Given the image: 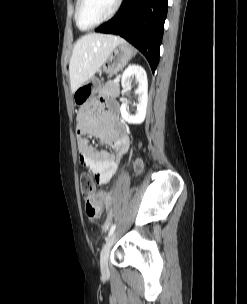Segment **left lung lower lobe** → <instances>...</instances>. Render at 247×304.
I'll use <instances>...</instances> for the list:
<instances>
[{"label": "left lung lower lobe", "mask_w": 247, "mask_h": 304, "mask_svg": "<svg viewBox=\"0 0 247 304\" xmlns=\"http://www.w3.org/2000/svg\"><path fill=\"white\" fill-rule=\"evenodd\" d=\"M167 9L168 0H123L120 11L95 31L125 38L145 55L154 72Z\"/></svg>", "instance_id": "left-lung-lower-lobe-1"}]
</instances>
